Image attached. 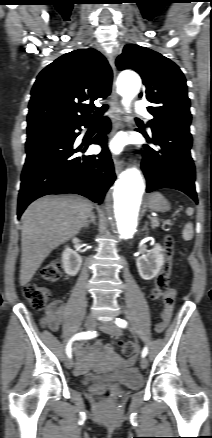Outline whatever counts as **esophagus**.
<instances>
[{
    "label": "esophagus",
    "instance_id": "esophagus-1",
    "mask_svg": "<svg viewBox=\"0 0 212 438\" xmlns=\"http://www.w3.org/2000/svg\"><path fill=\"white\" fill-rule=\"evenodd\" d=\"M108 61L109 64L113 70V83H112V99H111V109H110V116L112 118V121L114 123V131H116L119 127V100L118 95L116 93V67H115V60L111 55H108ZM114 167L116 174H119L122 170L121 161L118 157H114Z\"/></svg>",
    "mask_w": 212,
    "mask_h": 438
}]
</instances>
